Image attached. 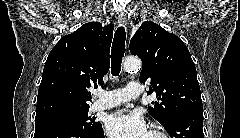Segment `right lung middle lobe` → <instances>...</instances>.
Wrapping results in <instances>:
<instances>
[{
	"label": "right lung middle lobe",
	"instance_id": "1",
	"mask_svg": "<svg viewBox=\"0 0 240 138\" xmlns=\"http://www.w3.org/2000/svg\"><path fill=\"white\" fill-rule=\"evenodd\" d=\"M89 107L66 108L36 115L35 125L51 121H68L85 130H94L101 126L100 122H95V118L88 116Z\"/></svg>",
	"mask_w": 240,
	"mask_h": 138
}]
</instances>
